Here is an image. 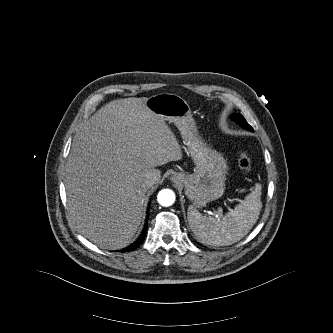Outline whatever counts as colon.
Instances as JSON below:
<instances>
[{
	"mask_svg": "<svg viewBox=\"0 0 333 333\" xmlns=\"http://www.w3.org/2000/svg\"><path fill=\"white\" fill-rule=\"evenodd\" d=\"M238 165L243 172H249L251 170L252 162L247 152H242L240 154Z\"/></svg>",
	"mask_w": 333,
	"mask_h": 333,
	"instance_id": "5ec220e1",
	"label": "colon"
}]
</instances>
